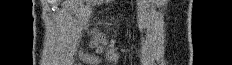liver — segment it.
<instances>
[{
	"label": "liver",
	"instance_id": "6515ba94",
	"mask_svg": "<svg viewBox=\"0 0 232 65\" xmlns=\"http://www.w3.org/2000/svg\"><path fill=\"white\" fill-rule=\"evenodd\" d=\"M74 2H75L74 0L67 1V3H74Z\"/></svg>",
	"mask_w": 232,
	"mask_h": 65
}]
</instances>
